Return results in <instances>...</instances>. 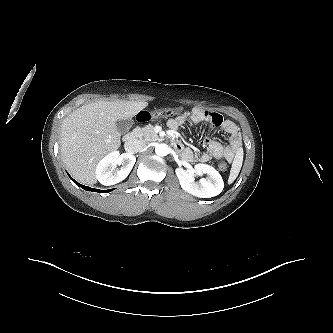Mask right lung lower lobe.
<instances>
[{
	"label": "right lung lower lobe",
	"instance_id": "98d812e1",
	"mask_svg": "<svg viewBox=\"0 0 333 333\" xmlns=\"http://www.w3.org/2000/svg\"><path fill=\"white\" fill-rule=\"evenodd\" d=\"M70 179H72L79 187L83 188L84 190L86 191H93V192H110V190H99V189H94V188H90V187H87V186H84L78 182H76L71 176H69Z\"/></svg>",
	"mask_w": 333,
	"mask_h": 333
}]
</instances>
